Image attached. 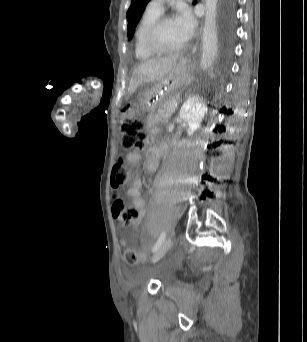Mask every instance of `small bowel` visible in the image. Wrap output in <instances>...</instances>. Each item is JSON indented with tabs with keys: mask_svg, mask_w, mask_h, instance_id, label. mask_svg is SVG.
<instances>
[{
	"mask_svg": "<svg viewBox=\"0 0 307 342\" xmlns=\"http://www.w3.org/2000/svg\"><path fill=\"white\" fill-rule=\"evenodd\" d=\"M166 149V146H162L160 149L151 147L147 152L146 168L149 171H153L158 166V159L160 153ZM127 159L130 163L136 164L141 160V156L138 153L131 152L128 154ZM143 182L140 178L135 177L131 181V186L128 190V197L131 201V205L137 210V218L132 223L134 229H137L141 224L142 218L145 215V203L141 196V189Z\"/></svg>",
	"mask_w": 307,
	"mask_h": 342,
	"instance_id": "c3829d8e",
	"label": "small bowel"
}]
</instances>
